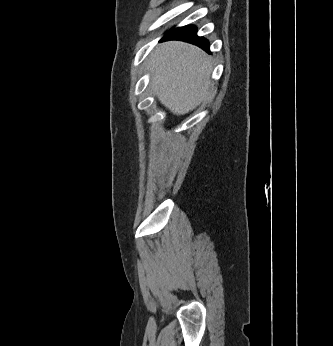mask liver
Listing matches in <instances>:
<instances>
[{
    "mask_svg": "<svg viewBox=\"0 0 333 346\" xmlns=\"http://www.w3.org/2000/svg\"><path fill=\"white\" fill-rule=\"evenodd\" d=\"M149 63L153 92L172 113L192 111L209 94L212 58L198 47L165 42L151 53Z\"/></svg>",
    "mask_w": 333,
    "mask_h": 346,
    "instance_id": "6515ba94",
    "label": "liver"
}]
</instances>
